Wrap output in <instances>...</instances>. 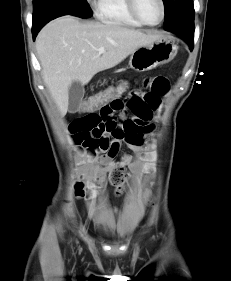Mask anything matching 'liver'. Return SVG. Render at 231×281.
Returning <instances> with one entry per match:
<instances>
[{
  "mask_svg": "<svg viewBox=\"0 0 231 281\" xmlns=\"http://www.w3.org/2000/svg\"><path fill=\"white\" fill-rule=\"evenodd\" d=\"M161 37L116 23L80 22L70 15L49 22L37 36L36 50L44 83L61 116L67 113L73 81L85 85L98 72L118 65L139 47ZM100 47L105 49L102 54Z\"/></svg>",
  "mask_w": 231,
  "mask_h": 281,
  "instance_id": "liver-1",
  "label": "liver"
}]
</instances>
